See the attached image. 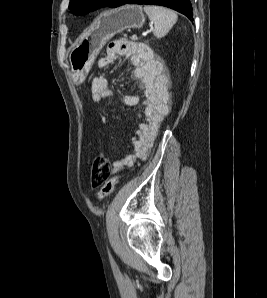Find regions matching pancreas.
<instances>
[{"label": "pancreas", "instance_id": "1", "mask_svg": "<svg viewBox=\"0 0 267 298\" xmlns=\"http://www.w3.org/2000/svg\"><path fill=\"white\" fill-rule=\"evenodd\" d=\"M132 39H133V40H136L137 38H136V37H132Z\"/></svg>", "mask_w": 267, "mask_h": 298}]
</instances>
